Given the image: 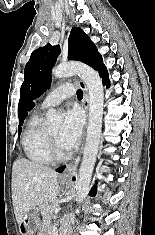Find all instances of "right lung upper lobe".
<instances>
[{"label": "right lung upper lobe", "mask_w": 155, "mask_h": 235, "mask_svg": "<svg viewBox=\"0 0 155 235\" xmlns=\"http://www.w3.org/2000/svg\"><path fill=\"white\" fill-rule=\"evenodd\" d=\"M33 107H34V104L32 103V104L30 105V110H31Z\"/></svg>", "instance_id": "1"}]
</instances>
